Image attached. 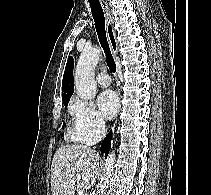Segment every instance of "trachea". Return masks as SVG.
Returning a JSON list of instances; mask_svg holds the SVG:
<instances>
[{"label":"trachea","mask_w":211,"mask_h":195,"mask_svg":"<svg viewBox=\"0 0 211 195\" xmlns=\"http://www.w3.org/2000/svg\"><path fill=\"white\" fill-rule=\"evenodd\" d=\"M92 16L95 22L96 32L99 38L101 47L106 55V62L111 72H116V65L112 57L105 31L104 12L99 1L89 0Z\"/></svg>","instance_id":"1"}]
</instances>
